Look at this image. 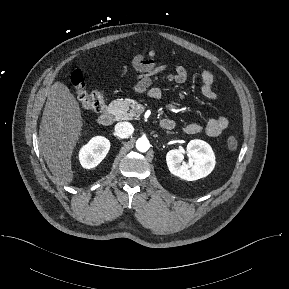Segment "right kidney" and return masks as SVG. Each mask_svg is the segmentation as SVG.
Listing matches in <instances>:
<instances>
[{"label":"right kidney","mask_w":289,"mask_h":289,"mask_svg":"<svg viewBox=\"0 0 289 289\" xmlns=\"http://www.w3.org/2000/svg\"><path fill=\"white\" fill-rule=\"evenodd\" d=\"M110 142L102 136L93 137L79 152V161L83 168L96 167L107 155Z\"/></svg>","instance_id":"right-kidney-1"}]
</instances>
